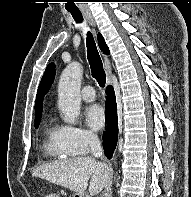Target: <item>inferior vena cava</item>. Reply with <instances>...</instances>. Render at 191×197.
Masks as SVG:
<instances>
[{
  "mask_svg": "<svg viewBox=\"0 0 191 197\" xmlns=\"http://www.w3.org/2000/svg\"><path fill=\"white\" fill-rule=\"evenodd\" d=\"M88 142H89L90 151L92 155L98 158L101 157L103 155V150H102L101 143L97 135L90 134L88 136Z\"/></svg>",
  "mask_w": 191,
  "mask_h": 197,
  "instance_id": "602c4592",
  "label": "inferior vena cava"
}]
</instances>
